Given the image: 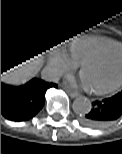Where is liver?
Wrapping results in <instances>:
<instances>
[{
	"label": "liver",
	"mask_w": 122,
	"mask_h": 154,
	"mask_svg": "<svg viewBox=\"0 0 122 154\" xmlns=\"http://www.w3.org/2000/svg\"><path fill=\"white\" fill-rule=\"evenodd\" d=\"M42 55L38 53L1 73V79L15 84L25 83L37 73Z\"/></svg>",
	"instance_id": "obj_1"
}]
</instances>
